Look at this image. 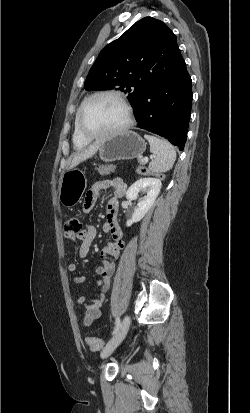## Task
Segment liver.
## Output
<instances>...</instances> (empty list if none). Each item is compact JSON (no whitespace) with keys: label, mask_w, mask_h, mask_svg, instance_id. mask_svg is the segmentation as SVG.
<instances>
[{"label":"liver","mask_w":250,"mask_h":413,"mask_svg":"<svg viewBox=\"0 0 250 413\" xmlns=\"http://www.w3.org/2000/svg\"><path fill=\"white\" fill-rule=\"evenodd\" d=\"M102 141L98 140L91 144L87 149L78 151L72 155L69 169H73L81 162L91 158L100 148Z\"/></svg>","instance_id":"liver-1"}]
</instances>
